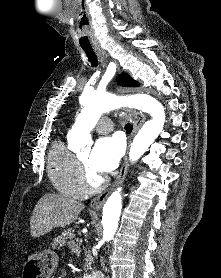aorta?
<instances>
[{"instance_id": "1", "label": "aorta", "mask_w": 221, "mask_h": 278, "mask_svg": "<svg viewBox=\"0 0 221 278\" xmlns=\"http://www.w3.org/2000/svg\"><path fill=\"white\" fill-rule=\"evenodd\" d=\"M127 105L137 108L152 116L145 122L135 136L129 152L131 161L138 160L162 132L165 122V111L160 102L149 95H138L127 100ZM83 108L69 132L70 142L82 148L91 142L90 131L95 127L103 113L119 106L117 99L107 93L93 91L84 95ZM122 209L121 187L117 188L107 199L102 216L103 241L109 242L118 229Z\"/></svg>"}]
</instances>
